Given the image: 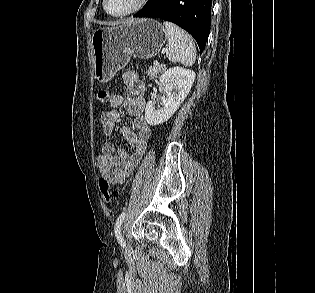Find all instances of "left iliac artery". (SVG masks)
Returning <instances> with one entry per match:
<instances>
[{
  "mask_svg": "<svg viewBox=\"0 0 315 293\" xmlns=\"http://www.w3.org/2000/svg\"><path fill=\"white\" fill-rule=\"evenodd\" d=\"M125 216H126V211L122 212L119 217L117 218L116 220V223H115V228H114V232H115V235H116V238L118 240V242L120 243L121 246H125V243L123 241V237H122V234H121V225L125 219Z\"/></svg>",
  "mask_w": 315,
  "mask_h": 293,
  "instance_id": "44dca946",
  "label": "left iliac artery"
}]
</instances>
